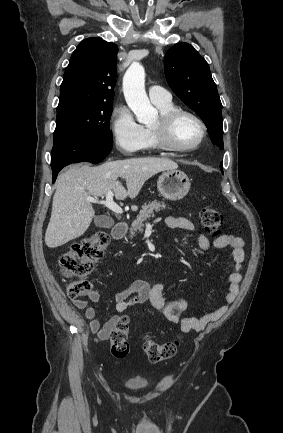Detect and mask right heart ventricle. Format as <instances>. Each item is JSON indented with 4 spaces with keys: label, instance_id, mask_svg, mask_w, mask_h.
<instances>
[{
    "label": "right heart ventricle",
    "instance_id": "obj_1",
    "mask_svg": "<svg viewBox=\"0 0 283 433\" xmlns=\"http://www.w3.org/2000/svg\"><path fill=\"white\" fill-rule=\"evenodd\" d=\"M156 107L158 108L160 115H163V114L175 109L176 105L172 101H170V102L165 103V104H158V105H156ZM147 133L149 134L151 142L153 144H158L156 134L153 131L152 127L147 129Z\"/></svg>",
    "mask_w": 283,
    "mask_h": 433
}]
</instances>
